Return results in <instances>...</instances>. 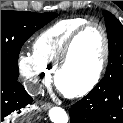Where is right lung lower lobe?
Returning a JSON list of instances; mask_svg holds the SVG:
<instances>
[{"instance_id": "1", "label": "right lung lower lobe", "mask_w": 123, "mask_h": 123, "mask_svg": "<svg viewBox=\"0 0 123 123\" xmlns=\"http://www.w3.org/2000/svg\"><path fill=\"white\" fill-rule=\"evenodd\" d=\"M32 101L20 82L1 81V122L12 113H20Z\"/></svg>"}]
</instances>
